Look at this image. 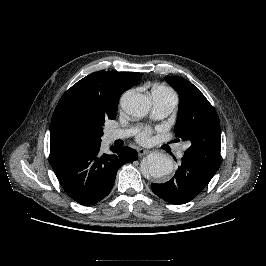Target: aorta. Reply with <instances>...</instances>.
Listing matches in <instances>:
<instances>
[{
	"instance_id": "1",
	"label": "aorta",
	"mask_w": 266,
	"mask_h": 266,
	"mask_svg": "<svg viewBox=\"0 0 266 266\" xmlns=\"http://www.w3.org/2000/svg\"><path fill=\"white\" fill-rule=\"evenodd\" d=\"M121 106L127 114L133 117H143L150 109L151 100L145 94L127 91L121 97ZM142 171L153 178H161L172 173L173 162L163 153H151L146 157Z\"/></svg>"
}]
</instances>
